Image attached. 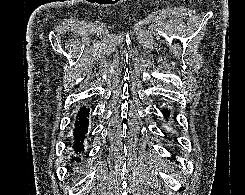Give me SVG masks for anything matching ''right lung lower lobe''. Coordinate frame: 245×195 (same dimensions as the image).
Returning <instances> with one entry per match:
<instances>
[{"label":"right lung lower lobe","instance_id":"98d812e1","mask_svg":"<svg viewBox=\"0 0 245 195\" xmlns=\"http://www.w3.org/2000/svg\"><path fill=\"white\" fill-rule=\"evenodd\" d=\"M88 110L85 107L80 109V112L78 113V119L75 124V130H74V140L75 145L74 148L77 152L82 150L83 144L82 141L85 138V134L87 132V125H88Z\"/></svg>","mask_w":245,"mask_h":195}]
</instances>
